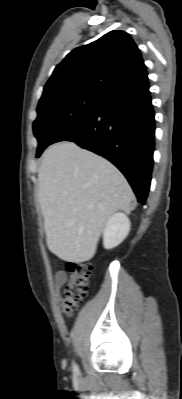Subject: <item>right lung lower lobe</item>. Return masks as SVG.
Instances as JSON below:
<instances>
[{"label": "right lung lower lobe", "mask_w": 182, "mask_h": 399, "mask_svg": "<svg viewBox=\"0 0 182 399\" xmlns=\"http://www.w3.org/2000/svg\"><path fill=\"white\" fill-rule=\"evenodd\" d=\"M154 133L147 80L108 94L94 113L58 132L52 143L73 141L105 157L125 175L138 202L145 204L153 167Z\"/></svg>", "instance_id": "98d812e1"}]
</instances>
